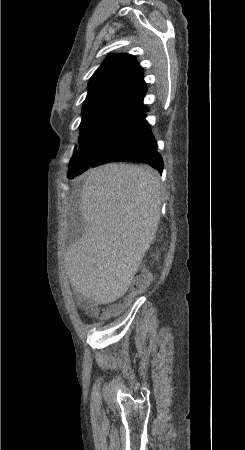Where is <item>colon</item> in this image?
<instances>
[{
    "mask_svg": "<svg viewBox=\"0 0 245 450\" xmlns=\"http://www.w3.org/2000/svg\"><path fill=\"white\" fill-rule=\"evenodd\" d=\"M147 278L146 276L141 272L138 271L135 273L134 279L132 280L129 288H128V298H126L122 305H127L131 298L135 295L141 293L146 287H147ZM107 312H97L95 313V318H103L105 317Z\"/></svg>",
    "mask_w": 245,
    "mask_h": 450,
    "instance_id": "1",
    "label": "colon"
}]
</instances>
